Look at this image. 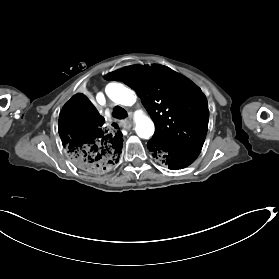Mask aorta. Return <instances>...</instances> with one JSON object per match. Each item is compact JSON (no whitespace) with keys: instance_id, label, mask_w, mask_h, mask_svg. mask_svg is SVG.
Wrapping results in <instances>:
<instances>
[{"instance_id":"762f6f07","label":"aorta","mask_w":279,"mask_h":279,"mask_svg":"<svg viewBox=\"0 0 279 279\" xmlns=\"http://www.w3.org/2000/svg\"><path fill=\"white\" fill-rule=\"evenodd\" d=\"M105 91L107 96L117 104L132 106L136 102L134 92L123 84L109 83ZM135 122V130L140 138L148 139L154 134V123L149 117L143 115L141 112H137L135 114Z\"/></svg>"}]
</instances>
